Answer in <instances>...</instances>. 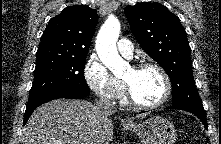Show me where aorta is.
Returning a JSON list of instances; mask_svg holds the SVG:
<instances>
[{
    "label": "aorta",
    "instance_id": "1",
    "mask_svg": "<svg viewBox=\"0 0 221 144\" xmlns=\"http://www.w3.org/2000/svg\"><path fill=\"white\" fill-rule=\"evenodd\" d=\"M120 33V22L109 17L102 25L96 39V51L102 63L116 76L120 77L129 68V63L119 55L116 47Z\"/></svg>",
    "mask_w": 221,
    "mask_h": 144
}]
</instances>
